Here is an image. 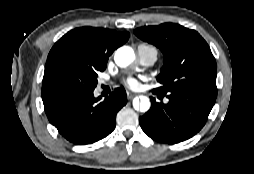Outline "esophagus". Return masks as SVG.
I'll return each instance as SVG.
<instances>
[{"instance_id":"esophagus-1","label":"esophagus","mask_w":254,"mask_h":174,"mask_svg":"<svg viewBox=\"0 0 254 174\" xmlns=\"http://www.w3.org/2000/svg\"><path fill=\"white\" fill-rule=\"evenodd\" d=\"M135 96H136V94H134V93H131V92L127 93V97L129 100L133 99Z\"/></svg>"}]
</instances>
